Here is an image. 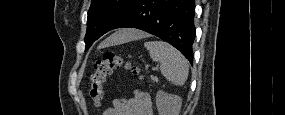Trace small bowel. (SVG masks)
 <instances>
[{"label":"small bowel","instance_id":"obj_1","mask_svg":"<svg viewBox=\"0 0 285 115\" xmlns=\"http://www.w3.org/2000/svg\"><path fill=\"white\" fill-rule=\"evenodd\" d=\"M153 104L151 96L144 91L135 90L133 96L127 99L117 98L112 106L104 111V115H152Z\"/></svg>","mask_w":285,"mask_h":115}]
</instances>
